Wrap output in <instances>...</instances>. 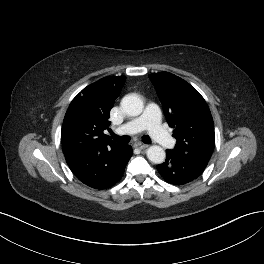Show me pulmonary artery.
Returning <instances> with one entry per match:
<instances>
[{
    "instance_id": "pulmonary-artery-1",
    "label": "pulmonary artery",
    "mask_w": 264,
    "mask_h": 264,
    "mask_svg": "<svg viewBox=\"0 0 264 264\" xmlns=\"http://www.w3.org/2000/svg\"><path fill=\"white\" fill-rule=\"evenodd\" d=\"M148 129L152 138L164 148L173 146L174 139L165 131L161 124V112L156 104H149L144 114L120 126L119 134L132 135Z\"/></svg>"
}]
</instances>
